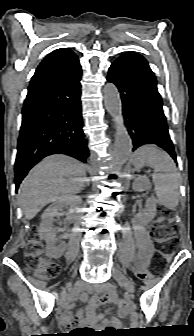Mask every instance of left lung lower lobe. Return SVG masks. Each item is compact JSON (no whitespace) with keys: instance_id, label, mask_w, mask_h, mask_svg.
<instances>
[{"instance_id":"1","label":"left lung lower lobe","mask_w":194,"mask_h":336,"mask_svg":"<svg viewBox=\"0 0 194 336\" xmlns=\"http://www.w3.org/2000/svg\"><path fill=\"white\" fill-rule=\"evenodd\" d=\"M107 80L119 89L133 151L144 144H155L176 162L157 81L144 57L133 52L121 55L110 66Z\"/></svg>"}]
</instances>
